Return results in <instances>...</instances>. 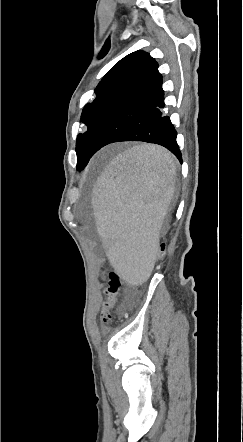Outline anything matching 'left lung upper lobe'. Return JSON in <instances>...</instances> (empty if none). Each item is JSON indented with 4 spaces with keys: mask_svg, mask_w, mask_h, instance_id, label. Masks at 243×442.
<instances>
[{
    "mask_svg": "<svg viewBox=\"0 0 243 442\" xmlns=\"http://www.w3.org/2000/svg\"><path fill=\"white\" fill-rule=\"evenodd\" d=\"M158 66L149 53L138 50L122 58L102 78L94 90L95 99L85 105L80 122L86 128L78 134L76 142L77 170L81 171L84 154L104 118L132 89L144 81Z\"/></svg>",
    "mask_w": 243,
    "mask_h": 442,
    "instance_id": "left-lung-upper-lobe-1",
    "label": "left lung upper lobe"
}]
</instances>
